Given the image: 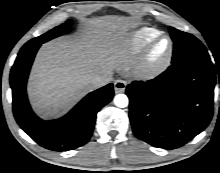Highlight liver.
Returning <instances> with one entry per match:
<instances>
[{"instance_id": "obj_1", "label": "liver", "mask_w": 220, "mask_h": 173, "mask_svg": "<svg viewBox=\"0 0 220 173\" xmlns=\"http://www.w3.org/2000/svg\"><path fill=\"white\" fill-rule=\"evenodd\" d=\"M130 18L105 16L89 19L79 37H62L39 49L28 81L34 110L43 117L58 116L93 91L91 80L111 72L120 60Z\"/></svg>"}]
</instances>
